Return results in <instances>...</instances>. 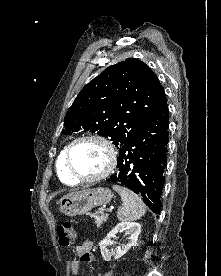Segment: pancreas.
Here are the masks:
<instances>
[{
  "mask_svg": "<svg viewBox=\"0 0 221 276\" xmlns=\"http://www.w3.org/2000/svg\"><path fill=\"white\" fill-rule=\"evenodd\" d=\"M90 217L95 220V224L99 227L104 222H106L108 215L104 213H100L99 215L96 214H90Z\"/></svg>",
  "mask_w": 221,
  "mask_h": 276,
  "instance_id": "obj_1",
  "label": "pancreas"
}]
</instances>
